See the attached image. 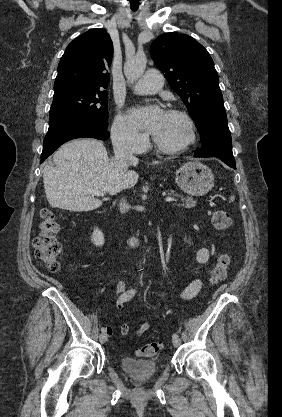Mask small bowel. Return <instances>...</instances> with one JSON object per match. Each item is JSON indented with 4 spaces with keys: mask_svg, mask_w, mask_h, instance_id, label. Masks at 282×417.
Returning a JSON list of instances; mask_svg holds the SVG:
<instances>
[{
    "mask_svg": "<svg viewBox=\"0 0 282 417\" xmlns=\"http://www.w3.org/2000/svg\"><path fill=\"white\" fill-rule=\"evenodd\" d=\"M209 260H210V252L206 246H202L201 248L198 249L196 253V261L201 266H207L209 263ZM114 285H115V292L113 294V298L116 301L117 310L121 312L123 309V297L126 293L127 288H126V285L122 281H115ZM202 286H203L202 280L200 278H196L192 280L185 288L180 290L177 293V297L181 300H191L199 294V292L202 289ZM148 328H149V324L145 323L144 325L141 326L139 330L136 331L135 336L138 337L142 335ZM129 331H130L129 325L125 321H122L120 325V335L126 336L129 334ZM104 332L106 333V335L111 336L112 335L111 327H106L104 329Z\"/></svg>",
    "mask_w": 282,
    "mask_h": 417,
    "instance_id": "1",
    "label": "small bowel"
}]
</instances>
